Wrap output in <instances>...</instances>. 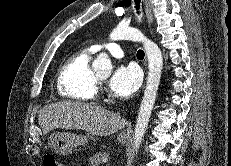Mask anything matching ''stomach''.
Returning <instances> with one entry per match:
<instances>
[{
	"label": "stomach",
	"mask_w": 231,
	"mask_h": 166,
	"mask_svg": "<svg viewBox=\"0 0 231 166\" xmlns=\"http://www.w3.org/2000/svg\"><path fill=\"white\" fill-rule=\"evenodd\" d=\"M89 135H77L68 132H55L49 138V146L53 152L59 155L71 154L75 147L88 143ZM120 143L126 142V137L120 134L117 137Z\"/></svg>",
	"instance_id": "stomach-1"
}]
</instances>
